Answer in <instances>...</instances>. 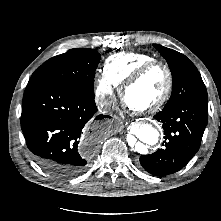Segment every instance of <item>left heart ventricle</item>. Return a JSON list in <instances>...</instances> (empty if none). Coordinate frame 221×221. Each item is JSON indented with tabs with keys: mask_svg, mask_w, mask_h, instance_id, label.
Segmentation results:
<instances>
[{
	"mask_svg": "<svg viewBox=\"0 0 221 221\" xmlns=\"http://www.w3.org/2000/svg\"><path fill=\"white\" fill-rule=\"evenodd\" d=\"M166 85L165 70L155 67L127 90L126 101L132 107L145 108L162 96Z\"/></svg>",
	"mask_w": 221,
	"mask_h": 221,
	"instance_id": "1",
	"label": "left heart ventricle"
}]
</instances>
